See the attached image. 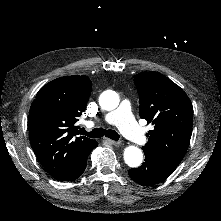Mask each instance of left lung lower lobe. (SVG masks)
<instances>
[{"instance_id":"0a47b994","label":"left lung lower lobe","mask_w":221,"mask_h":221,"mask_svg":"<svg viewBox=\"0 0 221 221\" xmlns=\"http://www.w3.org/2000/svg\"><path fill=\"white\" fill-rule=\"evenodd\" d=\"M130 177L143 186H153L164 181L171 171L159 165L153 158L145 154V162L141 167L129 170Z\"/></svg>"}]
</instances>
